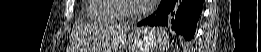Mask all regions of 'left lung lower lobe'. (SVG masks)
<instances>
[{"mask_svg":"<svg viewBox=\"0 0 261 52\" xmlns=\"http://www.w3.org/2000/svg\"><path fill=\"white\" fill-rule=\"evenodd\" d=\"M203 2V0H182L178 10L173 12L176 0H163L157 10L140 21L137 26H169L183 39L190 41L196 31Z\"/></svg>","mask_w":261,"mask_h":52,"instance_id":"1","label":"left lung lower lobe"}]
</instances>
